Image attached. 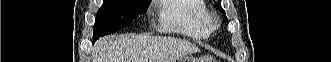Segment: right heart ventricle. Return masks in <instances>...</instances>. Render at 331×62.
Listing matches in <instances>:
<instances>
[{
    "label": "right heart ventricle",
    "mask_w": 331,
    "mask_h": 62,
    "mask_svg": "<svg viewBox=\"0 0 331 62\" xmlns=\"http://www.w3.org/2000/svg\"><path fill=\"white\" fill-rule=\"evenodd\" d=\"M160 27L192 39L202 40L213 30L211 16L201 0H163L159 8Z\"/></svg>",
    "instance_id": "obj_1"
}]
</instances>
